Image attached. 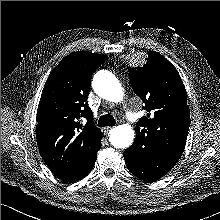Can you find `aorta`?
Segmentation results:
<instances>
[{"label":"aorta","mask_w":220,"mask_h":220,"mask_svg":"<svg viewBox=\"0 0 220 220\" xmlns=\"http://www.w3.org/2000/svg\"><path fill=\"white\" fill-rule=\"evenodd\" d=\"M93 87L102 98L118 103L123 99V88L118 78L108 71H99L93 78ZM135 133L130 125H119L110 132L111 144L126 149L134 141Z\"/></svg>","instance_id":"aorta-1"}]
</instances>
